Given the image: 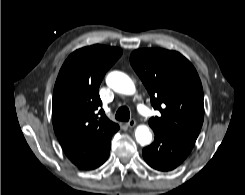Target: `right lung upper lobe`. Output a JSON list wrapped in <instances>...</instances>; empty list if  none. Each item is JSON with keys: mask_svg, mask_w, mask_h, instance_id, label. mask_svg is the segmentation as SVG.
<instances>
[{"mask_svg": "<svg viewBox=\"0 0 245 195\" xmlns=\"http://www.w3.org/2000/svg\"><path fill=\"white\" fill-rule=\"evenodd\" d=\"M121 54V49L103 45L76 50L64 62L55 83L54 131L66 156L83 169L101 165L104 150L119 129L99 109L98 88Z\"/></svg>", "mask_w": 245, "mask_h": 195, "instance_id": "obj_1", "label": "right lung upper lobe"}]
</instances>
